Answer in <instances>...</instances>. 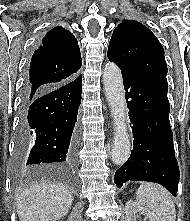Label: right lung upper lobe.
I'll return each mask as SVG.
<instances>
[{"mask_svg": "<svg viewBox=\"0 0 190 221\" xmlns=\"http://www.w3.org/2000/svg\"><path fill=\"white\" fill-rule=\"evenodd\" d=\"M81 64L77 39L63 27L53 28L32 56L25 86L27 93L34 94L75 79Z\"/></svg>", "mask_w": 190, "mask_h": 221, "instance_id": "1", "label": "right lung upper lobe"}]
</instances>
